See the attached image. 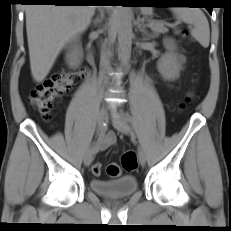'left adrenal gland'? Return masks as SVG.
Listing matches in <instances>:
<instances>
[{"label": "left adrenal gland", "instance_id": "obj_1", "mask_svg": "<svg viewBox=\"0 0 231 231\" xmlns=\"http://www.w3.org/2000/svg\"><path fill=\"white\" fill-rule=\"evenodd\" d=\"M138 29H139V31L142 33V35H143L144 37H147V38L151 37L150 34H149V33L147 32V30L145 29V27L142 26V23H141L140 21H138Z\"/></svg>", "mask_w": 231, "mask_h": 231}]
</instances>
